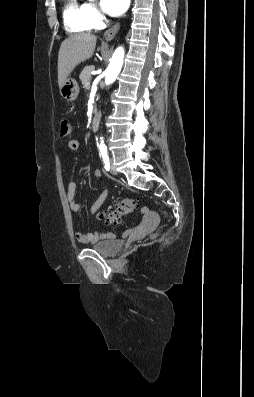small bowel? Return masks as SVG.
<instances>
[{
  "label": "small bowel",
  "mask_w": 254,
  "mask_h": 397,
  "mask_svg": "<svg viewBox=\"0 0 254 397\" xmlns=\"http://www.w3.org/2000/svg\"><path fill=\"white\" fill-rule=\"evenodd\" d=\"M68 147L70 150L76 151L79 149V142L76 139H72L68 142ZM94 176L98 179L102 177L100 170H95ZM76 190L77 185L75 182H69L67 187V199L69 202V207L72 213L76 214L81 210V204L76 200ZM108 191L103 189L98 196V198L93 202L89 208L90 213H95L103 205L107 199ZM143 215L146 217L147 222L151 219L152 213L147 210H142ZM75 238L80 243H97L100 241H105L114 238V234L110 232H76Z\"/></svg>",
  "instance_id": "1"
}]
</instances>
